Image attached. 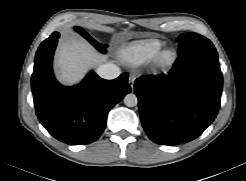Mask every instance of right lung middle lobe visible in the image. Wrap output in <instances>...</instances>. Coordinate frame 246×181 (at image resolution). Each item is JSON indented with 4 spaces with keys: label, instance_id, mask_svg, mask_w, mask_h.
I'll list each match as a JSON object with an SVG mask.
<instances>
[{
    "label": "right lung middle lobe",
    "instance_id": "1",
    "mask_svg": "<svg viewBox=\"0 0 246 181\" xmlns=\"http://www.w3.org/2000/svg\"><path fill=\"white\" fill-rule=\"evenodd\" d=\"M81 35H83L87 40H89L100 52L105 53V46L96 42L94 39H92L82 28L76 27L75 28ZM58 33L54 32L49 38H47L42 44H47L50 42L54 37H58Z\"/></svg>",
    "mask_w": 246,
    "mask_h": 181
}]
</instances>
